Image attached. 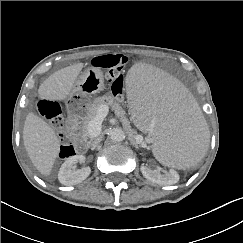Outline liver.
I'll return each mask as SVG.
<instances>
[{"instance_id":"1","label":"liver","mask_w":243,"mask_h":243,"mask_svg":"<svg viewBox=\"0 0 243 243\" xmlns=\"http://www.w3.org/2000/svg\"><path fill=\"white\" fill-rule=\"evenodd\" d=\"M83 66V63H77L53 73L40 85L39 97L49 101L67 99ZM23 142L35 168L42 175L49 176L60 150L55 131L43 119L29 113L24 123Z\"/></svg>"}]
</instances>
